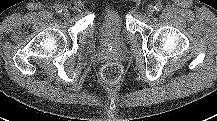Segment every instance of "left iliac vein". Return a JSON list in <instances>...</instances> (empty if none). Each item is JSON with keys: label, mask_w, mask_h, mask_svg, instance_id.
<instances>
[{"label": "left iliac vein", "mask_w": 217, "mask_h": 121, "mask_svg": "<svg viewBox=\"0 0 217 121\" xmlns=\"http://www.w3.org/2000/svg\"><path fill=\"white\" fill-rule=\"evenodd\" d=\"M154 11H155L154 7H153V6H149V7L147 8L146 14H147L148 16H152L153 13H154Z\"/></svg>", "instance_id": "1"}]
</instances>
